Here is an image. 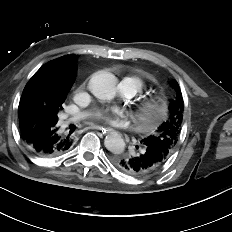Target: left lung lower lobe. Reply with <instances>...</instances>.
<instances>
[{
  "label": "left lung lower lobe",
  "instance_id": "1",
  "mask_svg": "<svg viewBox=\"0 0 232 232\" xmlns=\"http://www.w3.org/2000/svg\"><path fill=\"white\" fill-rule=\"evenodd\" d=\"M139 150L131 157H116L114 165L122 172L132 176H144L158 170L167 160L159 149L140 145Z\"/></svg>",
  "mask_w": 232,
  "mask_h": 232
}]
</instances>
